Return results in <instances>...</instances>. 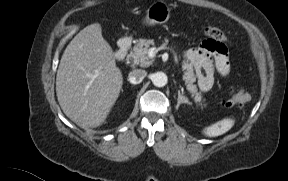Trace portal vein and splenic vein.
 <instances>
[{
    "mask_svg": "<svg viewBox=\"0 0 288 181\" xmlns=\"http://www.w3.org/2000/svg\"><path fill=\"white\" fill-rule=\"evenodd\" d=\"M156 54V49L155 48H150L148 52V58H153Z\"/></svg>",
    "mask_w": 288,
    "mask_h": 181,
    "instance_id": "portal-vein-and-splenic-vein-1",
    "label": "portal vein and splenic vein"
}]
</instances>
